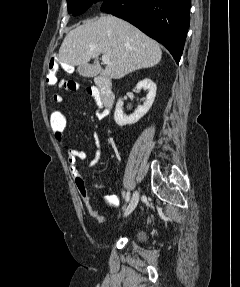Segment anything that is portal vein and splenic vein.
<instances>
[{
  "label": "portal vein and splenic vein",
  "mask_w": 240,
  "mask_h": 287,
  "mask_svg": "<svg viewBox=\"0 0 240 287\" xmlns=\"http://www.w3.org/2000/svg\"><path fill=\"white\" fill-rule=\"evenodd\" d=\"M102 61H103L104 63H109V57H108V55L103 54V55H102Z\"/></svg>",
  "instance_id": "18ae733b"
}]
</instances>
